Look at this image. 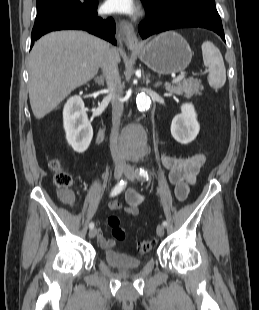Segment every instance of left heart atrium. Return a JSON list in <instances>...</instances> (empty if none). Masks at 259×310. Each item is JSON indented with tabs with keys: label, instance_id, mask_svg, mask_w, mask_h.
<instances>
[{
	"label": "left heart atrium",
	"instance_id": "39dd6f15",
	"mask_svg": "<svg viewBox=\"0 0 259 310\" xmlns=\"http://www.w3.org/2000/svg\"><path fill=\"white\" fill-rule=\"evenodd\" d=\"M105 8L112 13L130 14L135 10L134 0H107Z\"/></svg>",
	"mask_w": 259,
	"mask_h": 310
}]
</instances>
